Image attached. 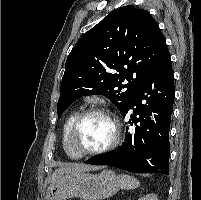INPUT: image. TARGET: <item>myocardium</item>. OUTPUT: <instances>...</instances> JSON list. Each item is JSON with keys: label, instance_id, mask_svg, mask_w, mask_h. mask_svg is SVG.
Here are the masks:
<instances>
[{"label": "myocardium", "instance_id": "myocardium-1", "mask_svg": "<svg viewBox=\"0 0 201 200\" xmlns=\"http://www.w3.org/2000/svg\"><path fill=\"white\" fill-rule=\"evenodd\" d=\"M92 115H100L107 118L113 128L111 140L103 147L91 151H79L75 145V134L80 123L87 117ZM121 129L117 117L108 109L104 107H91L78 114L73 121L67 135L68 148L76 159L83 157L97 156L113 150L120 141Z\"/></svg>", "mask_w": 201, "mask_h": 200}]
</instances>
